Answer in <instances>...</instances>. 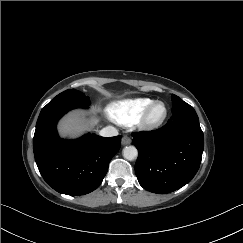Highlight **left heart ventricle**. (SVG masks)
<instances>
[{
  "mask_svg": "<svg viewBox=\"0 0 243 243\" xmlns=\"http://www.w3.org/2000/svg\"><path fill=\"white\" fill-rule=\"evenodd\" d=\"M164 114V107L162 105H158L154 108L151 113V120L156 121L159 120Z\"/></svg>",
  "mask_w": 243,
  "mask_h": 243,
  "instance_id": "obj_1",
  "label": "left heart ventricle"
}]
</instances>
